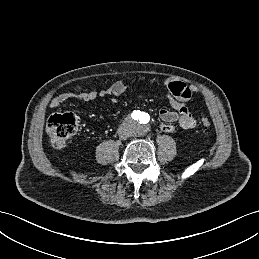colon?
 <instances>
[{"mask_svg":"<svg viewBox=\"0 0 259 259\" xmlns=\"http://www.w3.org/2000/svg\"><path fill=\"white\" fill-rule=\"evenodd\" d=\"M210 126L211 122L208 118L201 119V127L204 131L208 130ZM77 127L78 118L72 113L51 116L46 125L50 145L55 149L65 148L76 133Z\"/></svg>","mask_w":259,"mask_h":259,"instance_id":"1","label":"colon"}]
</instances>
